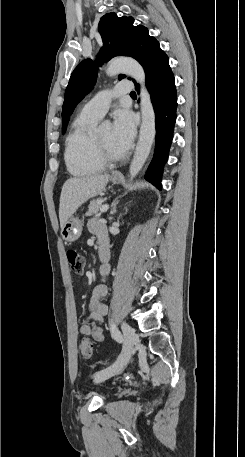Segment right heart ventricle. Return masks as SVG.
<instances>
[{"instance_id":"1","label":"right heart ventricle","mask_w":245,"mask_h":457,"mask_svg":"<svg viewBox=\"0 0 245 457\" xmlns=\"http://www.w3.org/2000/svg\"><path fill=\"white\" fill-rule=\"evenodd\" d=\"M96 119L80 115L73 121L66 137L65 159L74 175L100 170L102 165L94 163L87 155V138Z\"/></svg>"}]
</instances>
